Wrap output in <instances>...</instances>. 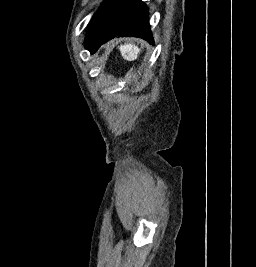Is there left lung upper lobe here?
Returning a JSON list of instances; mask_svg holds the SVG:
<instances>
[{
  "label": "left lung upper lobe",
  "mask_w": 256,
  "mask_h": 267,
  "mask_svg": "<svg viewBox=\"0 0 256 267\" xmlns=\"http://www.w3.org/2000/svg\"><path fill=\"white\" fill-rule=\"evenodd\" d=\"M116 36H135L153 43L148 9L140 0H105L94 14L85 37L92 54Z\"/></svg>",
  "instance_id": "1"
}]
</instances>
